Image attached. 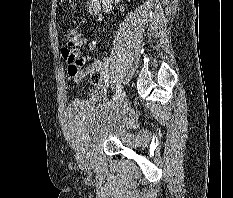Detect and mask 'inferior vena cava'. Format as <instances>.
Instances as JSON below:
<instances>
[{"label":"inferior vena cava","instance_id":"602c4592","mask_svg":"<svg viewBox=\"0 0 233 198\" xmlns=\"http://www.w3.org/2000/svg\"><path fill=\"white\" fill-rule=\"evenodd\" d=\"M102 3H103V7H104V10L106 12L110 11L111 8H112V0H102Z\"/></svg>","mask_w":233,"mask_h":198}]
</instances>
